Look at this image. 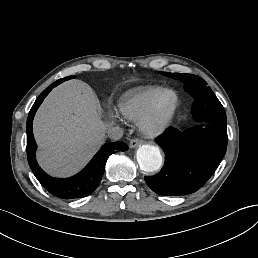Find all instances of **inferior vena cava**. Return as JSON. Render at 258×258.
Instances as JSON below:
<instances>
[{"label": "inferior vena cava", "instance_id": "inferior-vena-cava-1", "mask_svg": "<svg viewBox=\"0 0 258 258\" xmlns=\"http://www.w3.org/2000/svg\"><path fill=\"white\" fill-rule=\"evenodd\" d=\"M107 136L112 140H119L123 136V130L120 127H113L108 130Z\"/></svg>", "mask_w": 258, "mask_h": 258}]
</instances>
